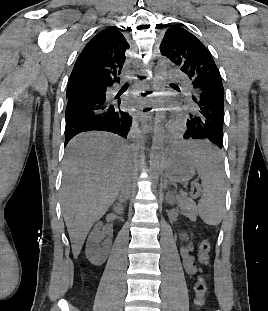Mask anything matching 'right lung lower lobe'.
<instances>
[{"label":"right lung lower lobe","mask_w":268,"mask_h":311,"mask_svg":"<svg viewBox=\"0 0 268 311\" xmlns=\"http://www.w3.org/2000/svg\"><path fill=\"white\" fill-rule=\"evenodd\" d=\"M108 85L101 86V95L72 93L67 97L65 113V146L77 134L86 131H107L127 138L132 116L122 110L120 102L110 101L106 95Z\"/></svg>","instance_id":"right-lung-lower-lobe-1"}]
</instances>
